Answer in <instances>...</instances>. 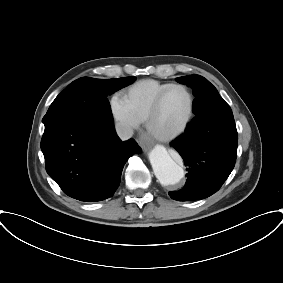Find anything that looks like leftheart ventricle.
I'll return each mask as SVG.
<instances>
[{
    "label": "left heart ventricle",
    "instance_id": "b2bd125f",
    "mask_svg": "<svg viewBox=\"0 0 283 283\" xmlns=\"http://www.w3.org/2000/svg\"><path fill=\"white\" fill-rule=\"evenodd\" d=\"M189 111V97L180 88L170 90L164 97L160 110L153 121V129L160 134L179 128Z\"/></svg>",
    "mask_w": 283,
    "mask_h": 283
}]
</instances>
